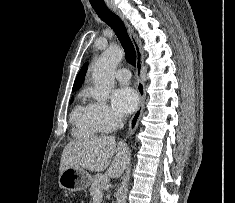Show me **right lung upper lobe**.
Returning <instances> with one entry per match:
<instances>
[{"label": "right lung upper lobe", "instance_id": "obj_1", "mask_svg": "<svg viewBox=\"0 0 235 203\" xmlns=\"http://www.w3.org/2000/svg\"><path fill=\"white\" fill-rule=\"evenodd\" d=\"M87 67L88 63H85L84 66L81 68L80 72L78 73L74 82L73 91L78 89L82 85L87 71Z\"/></svg>", "mask_w": 235, "mask_h": 203}]
</instances>
